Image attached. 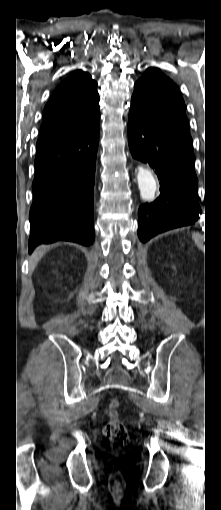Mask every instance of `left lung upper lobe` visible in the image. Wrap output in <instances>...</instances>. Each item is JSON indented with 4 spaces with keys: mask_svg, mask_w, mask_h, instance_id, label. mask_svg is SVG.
<instances>
[{
    "mask_svg": "<svg viewBox=\"0 0 221 510\" xmlns=\"http://www.w3.org/2000/svg\"><path fill=\"white\" fill-rule=\"evenodd\" d=\"M131 108L165 136L192 148L185 103L177 85L157 68H148L135 83Z\"/></svg>",
    "mask_w": 221,
    "mask_h": 510,
    "instance_id": "1",
    "label": "left lung upper lobe"
}]
</instances>
